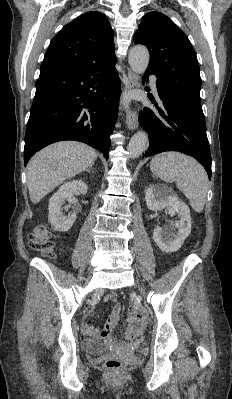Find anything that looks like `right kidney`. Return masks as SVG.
Instances as JSON below:
<instances>
[{"label": "right kidney", "instance_id": "ca27d5eb", "mask_svg": "<svg viewBox=\"0 0 232 399\" xmlns=\"http://www.w3.org/2000/svg\"><path fill=\"white\" fill-rule=\"evenodd\" d=\"M88 186L81 182V180H74V182H66L63 186H60L58 192L53 194L52 198L49 200V215L48 219L52 223V227L57 229V231H68L71 225H73L76 219V213H68L65 215L62 209H68L67 207H62L65 200H71L75 192H80V194H87Z\"/></svg>", "mask_w": 232, "mask_h": 399}]
</instances>
